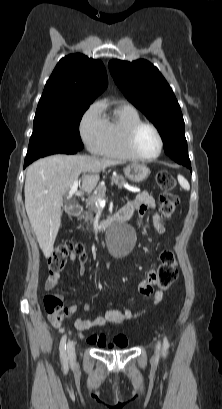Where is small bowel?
Segmentation results:
<instances>
[{
  "instance_id": "1",
  "label": "small bowel",
  "mask_w": 222,
  "mask_h": 409,
  "mask_svg": "<svg viewBox=\"0 0 222 409\" xmlns=\"http://www.w3.org/2000/svg\"><path fill=\"white\" fill-rule=\"evenodd\" d=\"M123 209L131 212V215L138 211L140 217L142 218L143 215L147 210H154L155 209V201L151 195L147 192L139 193L136 198L130 201L127 205L123 207ZM152 225L156 232L164 233L166 231L165 225L160 219V216L154 212L152 217ZM71 262L77 260V256L72 254L69 258ZM86 272V266L84 262H80L79 266V274L84 275ZM149 274V276H148ZM148 274L142 279L139 283L137 291L140 297H153L155 296V300L153 301L152 305H157L162 297L163 292L157 291L153 289V285H157L159 283L158 278L160 277V271L157 269H150ZM61 275L60 274H50L45 282V290L49 294H53L62 298V295L56 292V287L60 281ZM76 306L72 307V310H75ZM99 307L96 308L95 314L91 317H80L78 318L74 326L79 334L80 337H84L86 342L92 346H96L101 349H123L127 347V340L124 336H117L112 341H108L107 338L102 334H91L89 336H84V332L94 329L105 327L110 324H122L127 320L137 319L143 314L147 312V309H142L136 313H132L129 309H113L106 311L103 315L98 314ZM48 319L50 323L58 329H63L62 321L63 317H59L56 315H49Z\"/></svg>"
}]
</instances>
